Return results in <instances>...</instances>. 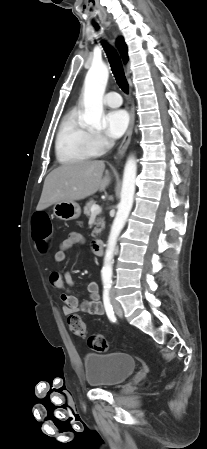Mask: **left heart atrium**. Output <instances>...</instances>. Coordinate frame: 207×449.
I'll use <instances>...</instances> for the list:
<instances>
[{
  "label": "left heart atrium",
  "mask_w": 207,
  "mask_h": 449,
  "mask_svg": "<svg viewBox=\"0 0 207 449\" xmlns=\"http://www.w3.org/2000/svg\"><path fill=\"white\" fill-rule=\"evenodd\" d=\"M105 133L116 139L121 137L129 125V115L125 110L110 111L105 115Z\"/></svg>",
  "instance_id": "1"
}]
</instances>
